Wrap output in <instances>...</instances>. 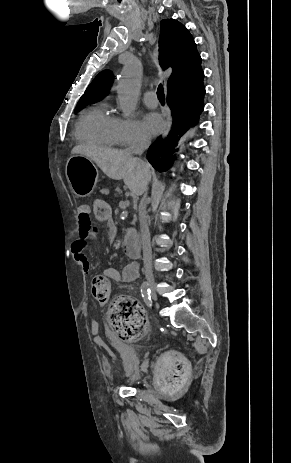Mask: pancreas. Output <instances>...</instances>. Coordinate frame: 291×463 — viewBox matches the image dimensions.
Listing matches in <instances>:
<instances>
[{"instance_id":"pancreas-1","label":"pancreas","mask_w":291,"mask_h":463,"mask_svg":"<svg viewBox=\"0 0 291 463\" xmlns=\"http://www.w3.org/2000/svg\"><path fill=\"white\" fill-rule=\"evenodd\" d=\"M113 192L115 197H121L123 193L118 186H114Z\"/></svg>"}]
</instances>
